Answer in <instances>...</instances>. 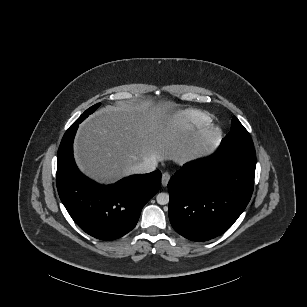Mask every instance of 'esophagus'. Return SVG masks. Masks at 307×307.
<instances>
[{
	"mask_svg": "<svg viewBox=\"0 0 307 307\" xmlns=\"http://www.w3.org/2000/svg\"><path fill=\"white\" fill-rule=\"evenodd\" d=\"M169 179H170V174L168 172L163 173L161 178V183L164 187L167 186Z\"/></svg>",
	"mask_w": 307,
	"mask_h": 307,
	"instance_id": "esophagus-1",
	"label": "esophagus"
}]
</instances>
